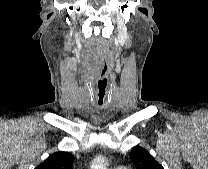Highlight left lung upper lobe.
<instances>
[{"label": "left lung upper lobe", "instance_id": "5c2ea615", "mask_svg": "<svg viewBox=\"0 0 208 169\" xmlns=\"http://www.w3.org/2000/svg\"><path fill=\"white\" fill-rule=\"evenodd\" d=\"M130 157L137 169H164L150 153L142 148L136 147L131 150Z\"/></svg>", "mask_w": 208, "mask_h": 169}]
</instances>
